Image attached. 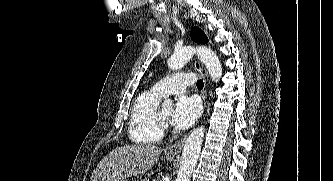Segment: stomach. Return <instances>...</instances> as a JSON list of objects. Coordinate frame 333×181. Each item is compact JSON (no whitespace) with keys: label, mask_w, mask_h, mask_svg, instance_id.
<instances>
[{"label":"stomach","mask_w":333,"mask_h":181,"mask_svg":"<svg viewBox=\"0 0 333 181\" xmlns=\"http://www.w3.org/2000/svg\"><path fill=\"white\" fill-rule=\"evenodd\" d=\"M123 181H130L129 179H124Z\"/></svg>","instance_id":"1"}]
</instances>
